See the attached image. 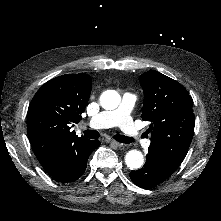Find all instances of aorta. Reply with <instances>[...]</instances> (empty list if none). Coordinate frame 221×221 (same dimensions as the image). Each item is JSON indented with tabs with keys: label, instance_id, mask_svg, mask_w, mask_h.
<instances>
[{
	"label": "aorta",
	"instance_id": "762f6f07",
	"mask_svg": "<svg viewBox=\"0 0 221 221\" xmlns=\"http://www.w3.org/2000/svg\"><path fill=\"white\" fill-rule=\"evenodd\" d=\"M120 95L116 91H108L101 95L100 103L104 109L112 110L119 106ZM125 163L131 170H137L144 164L143 154L138 150H130L125 155Z\"/></svg>",
	"mask_w": 221,
	"mask_h": 221
}]
</instances>
